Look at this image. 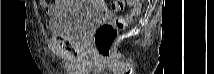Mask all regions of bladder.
I'll return each mask as SVG.
<instances>
[{"instance_id":"1","label":"bladder","mask_w":214,"mask_h":74,"mask_svg":"<svg viewBox=\"0 0 214 74\" xmlns=\"http://www.w3.org/2000/svg\"><path fill=\"white\" fill-rule=\"evenodd\" d=\"M72 5L59 10L50 20L51 33L72 41H83L88 30L103 16L93 1H71Z\"/></svg>"}]
</instances>
